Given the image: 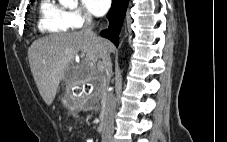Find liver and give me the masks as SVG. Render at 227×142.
<instances>
[{"label": "liver", "instance_id": "obj_1", "mask_svg": "<svg viewBox=\"0 0 227 142\" xmlns=\"http://www.w3.org/2000/svg\"><path fill=\"white\" fill-rule=\"evenodd\" d=\"M113 48L109 40L93 37L84 31L55 34L34 41L28 49L29 65L45 103L52 104L66 70L79 52L85 57L86 80L96 73L98 59Z\"/></svg>", "mask_w": 227, "mask_h": 142}]
</instances>
